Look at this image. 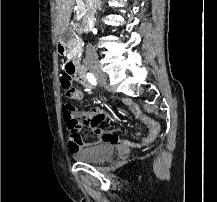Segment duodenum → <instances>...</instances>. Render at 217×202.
I'll list each match as a JSON object with an SVG mask.
<instances>
[{
	"label": "duodenum",
	"mask_w": 217,
	"mask_h": 202,
	"mask_svg": "<svg viewBox=\"0 0 217 202\" xmlns=\"http://www.w3.org/2000/svg\"><path fill=\"white\" fill-rule=\"evenodd\" d=\"M58 51L62 56H67L69 53V49L67 45L62 41L59 42ZM65 70L70 77L75 79L77 82L82 84L84 87L86 88L92 87L91 83L89 82L86 76L85 69L81 65H79L77 62L73 60L67 61L65 65Z\"/></svg>",
	"instance_id": "duodenum-1"
}]
</instances>
